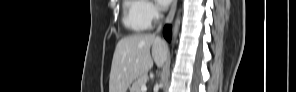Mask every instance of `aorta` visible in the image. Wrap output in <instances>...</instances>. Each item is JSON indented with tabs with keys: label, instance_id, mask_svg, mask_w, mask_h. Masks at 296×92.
I'll list each match as a JSON object with an SVG mask.
<instances>
[{
	"label": "aorta",
	"instance_id": "obj_1",
	"mask_svg": "<svg viewBox=\"0 0 296 92\" xmlns=\"http://www.w3.org/2000/svg\"><path fill=\"white\" fill-rule=\"evenodd\" d=\"M179 24H180V20H179V18H177L176 23H175V27H174V30H173V36L177 35Z\"/></svg>",
	"mask_w": 296,
	"mask_h": 92
}]
</instances>
